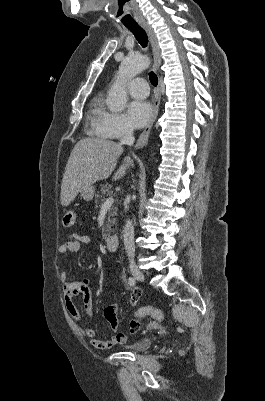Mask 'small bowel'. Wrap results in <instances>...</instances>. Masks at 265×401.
<instances>
[{
	"instance_id": "c3829d8e",
	"label": "small bowel",
	"mask_w": 265,
	"mask_h": 401,
	"mask_svg": "<svg viewBox=\"0 0 265 401\" xmlns=\"http://www.w3.org/2000/svg\"><path fill=\"white\" fill-rule=\"evenodd\" d=\"M91 241L90 237L87 235H82L78 233H71L68 238L60 245L59 252L61 254L77 253L80 250L81 245L89 244ZM60 279L62 282L63 296L65 301V306L70 314V316L79 323L81 326L85 338L94 347L106 350L115 345L124 344L127 341V335L122 332H116L107 340H100L97 338L95 331L87 326L83 320V317L78 310L76 304L74 303V298L81 295L82 305L84 312L88 318L93 317V300L91 291L87 280L82 281H68L67 273L65 271L61 272ZM141 292L138 289H134L131 296V304L135 305L140 298ZM114 302L107 306L103 315L107 323L110 325L112 330L117 331L118 322V312L119 305L116 302V295L112 292Z\"/></svg>"
}]
</instances>
